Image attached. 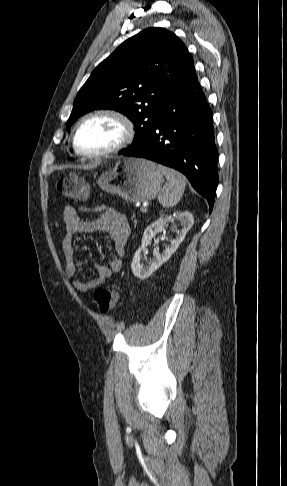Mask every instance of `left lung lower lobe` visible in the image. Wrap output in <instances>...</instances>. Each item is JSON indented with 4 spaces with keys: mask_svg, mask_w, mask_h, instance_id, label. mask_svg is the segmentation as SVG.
Listing matches in <instances>:
<instances>
[{
    "mask_svg": "<svg viewBox=\"0 0 287 486\" xmlns=\"http://www.w3.org/2000/svg\"><path fill=\"white\" fill-rule=\"evenodd\" d=\"M146 158L182 172L213 208L218 185V152L212 110L196 72L176 89L140 144L119 152Z\"/></svg>",
    "mask_w": 287,
    "mask_h": 486,
    "instance_id": "0a47b994",
    "label": "left lung lower lobe"
}]
</instances>
